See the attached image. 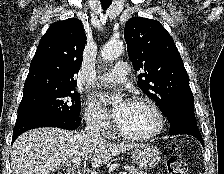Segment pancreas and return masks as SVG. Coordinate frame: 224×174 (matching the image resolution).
I'll return each instance as SVG.
<instances>
[{"instance_id":"pancreas-1","label":"pancreas","mask_w":224,"mask_h":174,"mask_svg":"<svg viewBox=\"0 0 224 174\" xmlns=\"http://www.w3.org/2000/svg\"><path fill=\"white\" fill-rule=\"evenodd\" d=\"M125 170L128 172L127 174H147L146 172H143L141 170L136 169L135 167L131 165H126Z\"/></svg>"}]
</instances>
